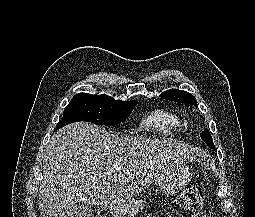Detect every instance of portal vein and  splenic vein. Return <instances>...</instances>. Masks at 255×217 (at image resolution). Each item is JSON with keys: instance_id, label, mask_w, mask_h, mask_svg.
Segmentation results:
<instances>
[{"instance_id": "18ae733b", "label": "portal vein and splenic vein", "mask_w": 255, "mask_h": 217, "mask_svg": "<svg viewBox=\"0 0 255 217\" xmlns=\"http://www.w3.org/2000/svg\"><path fill=\"white\" fill-rule=\"evenodd\" d=\"M121 168H122V166H121L120 164H115V165L112 166L111 169H112L113 171H120Z\"/></svg>"}]
</instances>
